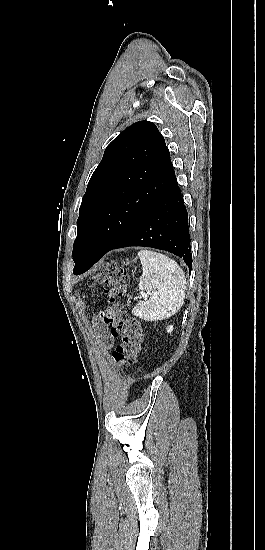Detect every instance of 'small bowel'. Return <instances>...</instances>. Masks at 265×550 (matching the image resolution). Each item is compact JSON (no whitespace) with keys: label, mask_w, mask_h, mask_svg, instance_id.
I'll use <instances>...</instances> for the list:
<instances>
[{"label":"small bowel","mask_w":265,"mask_h":550,"mask_svg":"<svg viewBox=\"0 0 265 550\" xmlns=\"http://www.w3.org/2000/svg\"><path fill=\"white\" fill-rule=\"evenodd\" d=\"M99 324L102 327L106 326L105 323H99ZM114 343H115V337L110 333H107L106 335H104L100 341V345L104 350H111L114 346Z\"/></svg>","instance_id":"c3829d8e"}]
</instances>
